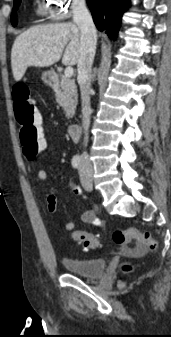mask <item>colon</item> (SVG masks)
<instances>
[{
  "label": "colon",
  "instance_id": "1",
  "mask_svg": "<svg viewBox=\"0 0 171 337\" xmlns=\"http://www.w3.org/2000/svg\"><path fill=\"white\" fill-rule=\"evenodd\" d=\"M13 97L22 151L28 160L33 161L42 151H50L51 145L47 144L45 127L41 126V117L33 105L28 86L17 84L14 87ZM73 238L82 243L86 249H95L100 243L94 234L86 231L73 232ZM112 238L116 245L127 252L142 253L156 248V241L151 234L138 229L115 231ZM123 270L129 271L130 266L124 265Z\"/></svg>",
  "mask_w": 171,
  "mask_h": 337
}]
</instances>
